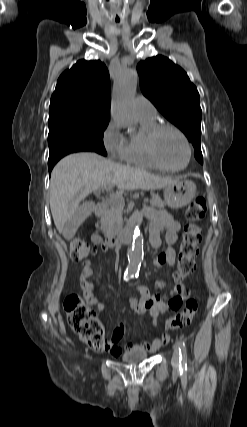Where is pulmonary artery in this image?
Masks as SVG:
<instances>
[{
  "label": "pulmonary artery",
  "instance_id": "e3ab8cb5",
  "mask_svg": "<svg viewBox=\"0 0 247 427\" xmlns=\"http://www.w3.org/2000/svg\"><path fill=\"white\" fill-rule=\"evenodd\" d=\"M135 112L138 118L153 119L157 111L152 102L143 95H138L135 99Z\"/></svg>",
  "mask_w": 247,
  "mask_h": 427
}]
</instances>
